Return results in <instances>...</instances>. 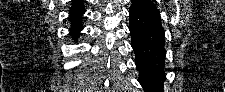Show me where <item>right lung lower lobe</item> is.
I'll return each mask as SVG.
<instances>
[{"label":"right lung lower lobe","mask_w":225,"mask_h":92,"mask_svg":"<svg viewBox=\"0 0 225 92\" xmlns=\"http://www.w3.org/2000/svg\"><path fill=\"white\" fill-rule=\"evenodd\" d=\"M82 14L73 18H70L71 27H70V35L73 39H77L79 36V32L83 29L81 24Z\"/></svg>","instance_id":"98d812e1"}]
</instances>
